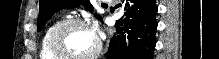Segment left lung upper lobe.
Instances as JSON below:
<instances>
[{"label": "left lung upper lobe", "mask_w": 219, "mask_h": 59, "mask_svg": "<svg viewBox=\"0 0 219 59\" xmlns=\"http://www.w3.org/2000/svg\"><path fill=\"white\" fill-rule=\"evenodd\" d=\"M81 4L86 10L91 13L93 12L94 8L89 0H40L37 31H40L57 11L67 8H75ZM95 17L102 21L100 15L95 14Z\"/></svg>", "instance_id": "left-lung-upper-lobe-1"}]
</instances>
